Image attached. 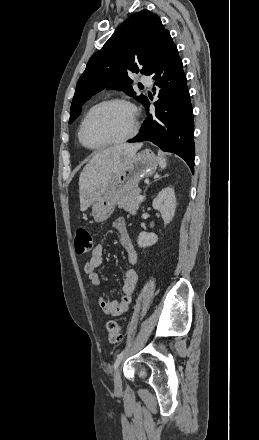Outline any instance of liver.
<instances>
[{
	"label": "liver",
	"mask_w": 259,
	"mask_h": 440,
	"mask_svg": "<svg viewBox=\"0 0 259 440\" xmlns=\"http://www.w3.org/2000/svg\"><path fill=\"white\" fill-rule=\"evenodd\" d=\"M142 145V143L115 145L93 156L79 177L81 211L87 210L106 190L113 175L127 165Z\"/></svg>",
	"instance_id": "1"
}]
</instances>
